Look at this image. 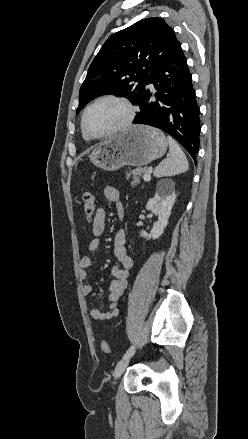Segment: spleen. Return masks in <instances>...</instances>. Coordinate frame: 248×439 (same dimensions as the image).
I'll use <instances>...</instances> for the list:
<instances>
[{
  "instance_id": "1",
  "label": "spleen",
  "mask_w": 248,
  "mask_h": 439,
  "mask_svg": "<svg viewBox=\"0 0 248 439\" xmlns=\"http://www.w3.org/2000/svg\"><path fill=\"white\" fill-rule=\"evenodd\" d=\"M168 142L169 156L153 172L154 176L158 178L178 175L184 173L189 168L187 158L178 143L170 136H168Z\"/></svg>"
}]
</instances>
